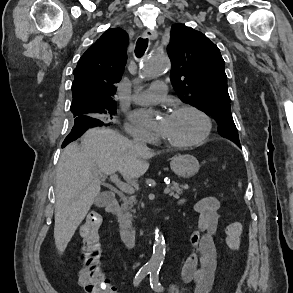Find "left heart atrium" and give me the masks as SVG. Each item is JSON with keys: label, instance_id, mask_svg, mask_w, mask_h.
Returning <instances> with one entry per match:
<instances>
[{"label": "left heart atrium", "instance_id": "39dd6f15", "mask_svg": "<svg viewBox=\"0 0 293 293\" xmlns=\"http://www.w3.org/2000/svg\"><path fill=\"white\" fill-rule=\"evenodd\" d=\"M133 117L136 120V122H138L142 126L147 128L153 127V123H152L153 113L151 111L138 110L134 113ZM166 122H167V117L163 118V120L159 122V124H157L156 130L158 133L162 134L163 130L165 129Z\"/></svg>", "mask_w": 293, "mask_h": 293}]
</instances>
